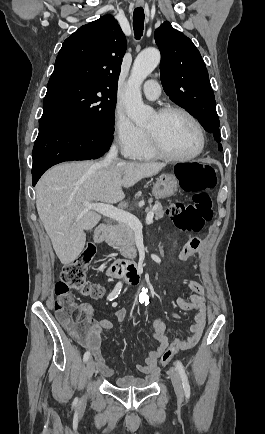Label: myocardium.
<instances>
[{"label": "myocardium", "mask_w": 265, "mask_h": 434, "mask_svg": "<svg viewBox=\"0 0 265 434\" xmlns=\"http://www.w3.org/2000/svg\"><path fill=\"white\" fill-rule=\"evenodd\" d=\"M172 112L182 113L193 123V125L195 126V128L197 130L198 139H199L197 149L189 155H184V156L175 155V154L171 153L169 150H167L162 145L160 138H159V132L157 130L146 129L148 136H149V139H150L151 147L158 157L163 158L165 160L173 161V162L192 161V160L198 158L203 153V151L205 149L206 137H205L204 128H203L202 124L200 123V121L189 110H187L186 108L179 106V105H167V106L162 107L161 109L158 110L157 117L160 120H163L167 115H169Z\"/></svg>", "instance_id": "myocardium-1"}]
</instances>
